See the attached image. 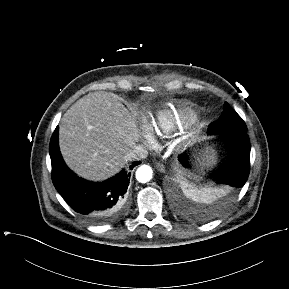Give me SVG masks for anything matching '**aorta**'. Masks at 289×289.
<instances>
[{"label":"aorta","instance_id":"762f6f07","mask_svg":"<svg viewBox=\"0 0 289 289\" xmlns=\"http://www.w3.org/2000/svg\"><path fill=\"white\" fill-rule=\"evenodd\" d=\"M153 170L148 165L140 166L136 171V179L141 183H147L152 179Z\"/></svg>","mask_w":289,"mask_h":289}]
</instances>
